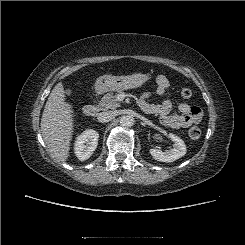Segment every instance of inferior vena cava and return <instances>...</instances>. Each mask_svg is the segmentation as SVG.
Listing matches in <instances>:
<instances>
[{
	"label": "inferior vena cava",
	"instance_id": "inferior-vena-cava-1",
	"mask_svg": "<svg viewBox=\"0 0 245 245\" xmlns=\"http://www.w3.org/2000/svg\"><path fill=\"white\" fill-rule=\"evenodd\" d=\"M116 116L114 111H106L98 114L97 119L101 123H106L111 121Z\"/></svg>",
	"mask_w": 245,
	"mask_h": 245
}]
</instances>
